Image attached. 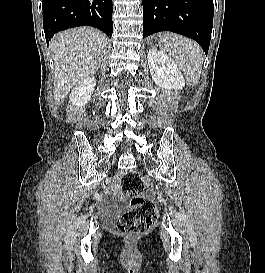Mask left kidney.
Listing matches in <instances>:
<instances>
[{
    "instance_id": "5707ae66",
    "label": "left kidney",
    "mask_w": 265,
    "mask_h": 273,
    "mask_svg": "<svg viewBox=\"0 0 265 273\" xmlns=\"http://www.w3.org/2000/svg\"><path fill=\"white\" fill-rule=\"evenodd\" d=\"M148 65L153 81L160 88L178 91L185 86V79L176 63L158 49L149 50Z\"/></svg>"
}]
</instances>
